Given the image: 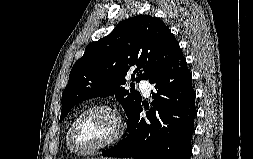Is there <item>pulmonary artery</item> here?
Segmentation results:
<instances>
[{
  "instance_id": "e3ab8cb5",
  "label": "pulmonary artery",
  "mask_w": 253,
  "mask_h": 159,
  "mask_svg": "<svg viewBox=\"0 0 253 159\" xmlns=\"http://www.w3.org/2000/svg\"><path fill=\"white\" fill-rule=\"evenodd\" d=\"M138 87H139V89L142 91V93H143L145 96H149L150 90H151V86H150V83H149L148 80H146V79H141V80L138 82Z\"/></svg>"
}]
</instances>
